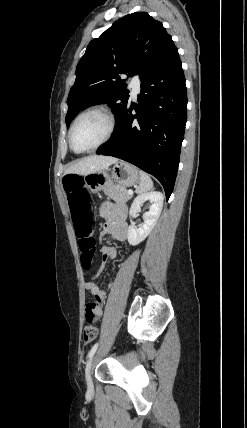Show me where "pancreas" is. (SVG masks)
Returning <instances> with one entry per match:
<instances>
[{"label":"pancreas","mask_w":247,"mask_h":428,"mask_svg":"<svg viewBox=\"0 0 247 428\" xmlns=\"http://www.w3.org/2000/svg\"><path fill=\"white\" fill-rule=\"evenodd\" d=\"M108 198L113 199L117 203H125L131 199V195L127 193V189L122 185H112L104 190Z\"/></svg>","instance_id":"1"}]
</instances>
